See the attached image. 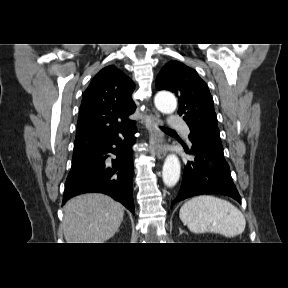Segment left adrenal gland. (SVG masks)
Returning <instances> with one entry per match:
<instances>
[{
	"instance_id": "a2214340",
	"label": "left adrenal gland",
	"mask_w": 288,
	"mask_h": 288,
	"mask_svg": "<svg viewBox=\"0 0 288 288\" xmlns=\"http://www.w3.org/2000/svg\"><path fill=\"white\" fill-rule=\"evenodd\" d=\"M179 232H180V234H182L183 233V231L179 228Z\"/></svg>"
}]
</instances>
